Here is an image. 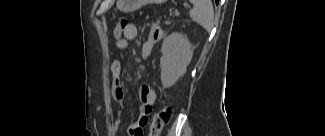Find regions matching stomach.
I'll use <instances>...</instances> for the list:
<instances>
[{
	"instance_id": "1",
	"label": "stomach",
	"mask_w": 325,
	"mask_h": 136,
	"mask_svg": "<svg viewBox=\"0 0 325 136\" xmlns=\"http://www.w3.org/2000/svg\"><path fill=\"white\" fill-rule=\"evenodd\" d=\"M144 0H117V6L124 12L133 11L145 3ZM149 2L162 3L165 0H150Z\"/></svg>"
}]
</instances>
